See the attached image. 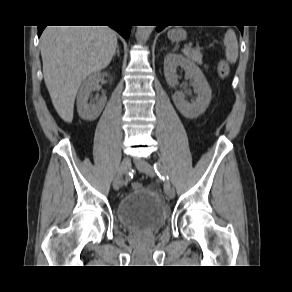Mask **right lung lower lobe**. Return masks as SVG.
Segmentation results:
<instances>
[{
	"label": "right lung lower lobe",
	"instance_id": "right-lung-lower-lobe-1",
	"mask_svg": "<svg viewBox=\"0 0 292 292\" xmlns=\"http://www.w3.org/2000/svg\"><path fill=\"white\" fill-rule=\"evenodd\" d=\"M113 29H115L119 34H121L124 38H129L131 26L124 25V24H114L110 25ZM45 26H38V36L41 35L42 31L44 30Z\"/></svg>",
	"mask_w": 292,
	"mask_h": 292
}]
</instances>
